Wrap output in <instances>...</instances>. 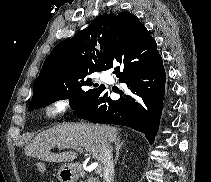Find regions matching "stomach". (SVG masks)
<instances>
[{"instance_id":"stomach-1","label":"stomach","mask_w":211,"mask_h":182,"mask_svg":"<svg viewBox=\"0 0 211 182\" xmlns=\"http://www.w3.org/2000/svg\"><path fill=\"white\" fill-rule=\"evenodd\" d=\"M78 171L72 164H63L58 171V179L60 182H76Z\"/></svg>"}]
</instances>
